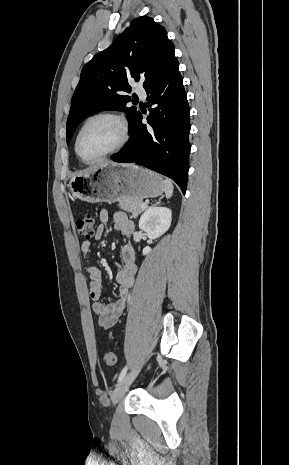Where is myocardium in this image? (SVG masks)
I'll use <instances>...</instances> for the list:
<instances>
[{"mask_svg":"<svg viewBox=\"0 0 289 465\" xmlns=\"http://www.w3.org/2000/svg\"><path fill=\"white\" fill-rule=\"evenodd\" d=\"M99 118H107V119H110L112 121H114L115 123L118 124L119 128H120V131H121V138H120V141L119 143L113 147L112 149L100 154L99 156L95 157V158H92V159H84L80 153H79V140H80V137H81V134L82 132L84 131L85 127L93 120L95 119H99ZM129 140V126H128V122L127 120L125 119V117L120 114V113H117V112H114V111H111V110H100V111H97V112H94L93 114L89 115L84 121L83 123L81 124L77 134H76V137H75V142H74V150H75V154L76 156L79 158V160H81L83 163H86V164H92V163H95L107 156H110L118 151H120L128 142Z\"/></svg>","mask_w":289,"mask_h":465,"instance_id":"myocardium-1","label":"myocardium"}]
</instances>
